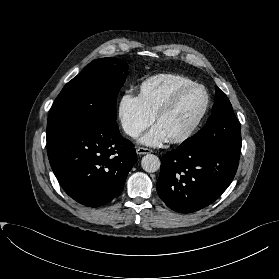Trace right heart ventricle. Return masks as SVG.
Instances as JSON below:
<instances>
[{"label": "right heart ventricle", "mask_w": 279, "mask_h": 279, "mask_svg": "<svg viewBox=\"0 0 279 279\" xmlns=\"http://www.w3.org/2000/svg\"><path fill=\"white\" fill-rule=\"evenodd\" d=\"M192 83L195 82L182 74L159 73L140 84L138 96L145 110L154 117L179 88Z\"/></svg>", "instance_id": "1"}]
</instances>
